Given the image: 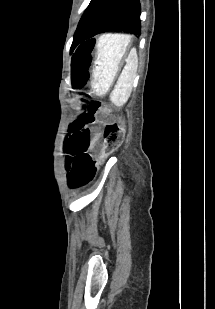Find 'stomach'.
Instances as JSON below:
<instances>
[{
    "instance_id": "obj_1",
    "label": "stomach",
    "mask_w": 215,
    "mask_h": 309,
    "mask_svg": "<svg viewBox=\"0 0 215 309\" xmlns=\"http://www.w3.org/2000/svg\"><path fill=\"white\" fill-rule=\"evenodd\" d=\"M131 37L124 33H107L96 43V60L91 86L96 94H105L112 85L122 61L132 55Z\"/></svg>"
}]
</instances>
